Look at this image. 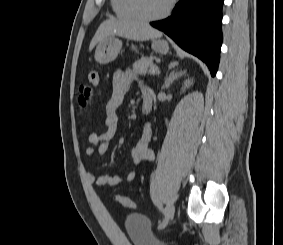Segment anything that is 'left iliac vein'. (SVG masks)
<instances>
[{
  "instance_id": "4c4485c4",
  "label": "left iliac vein",
  "mask_w": 283,
  "mask_h": 245,
  "mask_svg": "<svg viewBox=\"0 0 283 245\" xmlns=\"http://www.w3.org/2000/svg\"><path fill=\"white\" fill-rule=\"evenodd\" d=\"M174 213H175V206L172 202H169L166 207L164 224L162 225L161 229L165 228L169 224V222L174 216Z\"/></svg>"
}]
</instances>
